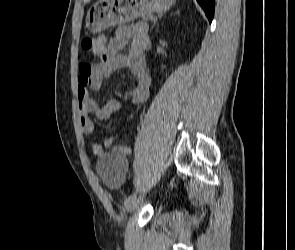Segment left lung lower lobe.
Here are the masks:
<instances>
[{"label":"left lung lower lobe","mask_w":295,"mask_h":250,"mask_svg":"<svg viewBox=\"0 0 295 250\" xmlns=\"http://www.w3.org/2000/svg\"><path fill=\"white\" fill-rule=\"evenodd\" d=\"M197 2L205 11V14L208 17L209 22H211L214 14V0H197Z\"/></svg>","instance_id":"left-lung-lower-lobe-1"}]
</instances>
